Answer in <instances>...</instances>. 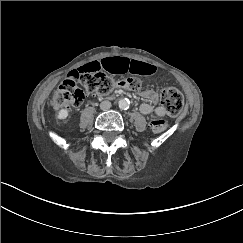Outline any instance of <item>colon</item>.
Returning a JSON list of instances; mask_svg holds the SVG:
<instances>
[{
  "mask_svg": "<svg viewBox=\"0 0 243 243\" xmlns=\"http://www.w3.org/2000/svg\"><path fill=\"white\" fill-rule=\"evenodd\" d=\"M116 88L137 91L141 88V81L137 78H127L114 81L101 72L73 71L58 87L52 100L54 109H72L79 107L86 95L106 96ZM161 104L172 116L180 114L184 106V99L179 90L168 87L161 93ZM152 130L161 133L168 127L164 119L151 122Z\"/></svg>",
  "mask_w": 243,
  "mask_h": 243,
  "instance_id": "1",
  "label": "colon"
}]
</instances>
